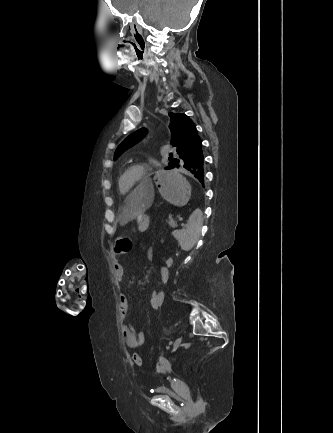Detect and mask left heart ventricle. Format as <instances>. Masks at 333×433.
Listing matches in <instances>:
<instances>
[{
	"label": "left heart ventricle",
	"instance_id": "b2bd125f",
	"mask_svg": "<svg viewBox=\"0 0 333 433\" xmlns=\"http://www.w3.org/2000/svg\"><path fill=\"white\" fill-rule=\"evenodd\" d=\"M135 177V173H131L125 178V186H128L131 183V180Z\"/></svg>",
	"mask_w": 333,
	"mask_h": 433
}]
</instances>
